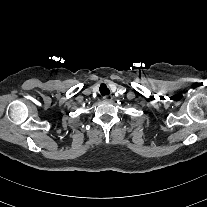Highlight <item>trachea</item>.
<instances>
[{
	"label": "trachea",
	"mask_w": 207,
	"mask_h": 207,
	"mask_svg": "<svg viewBox=\"0 0 207 207\" xmlns=\"http://www.w3.org/2000/svg\"><path fill=\"white\" fill-rule=\"evenodd\" d=\"M99 90L102 95L110 94V90L108 89V87L105 84H101Z\"/></svg>",
	"instance_id": "3493384b"
}]
</instances>
